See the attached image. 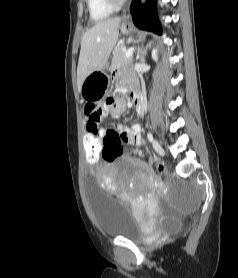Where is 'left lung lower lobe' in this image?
I'll return each instance as SVG.
<instances>
[{
  "label": "left lung lower lobe",
  "mask_w": 238,
  "mask_h": 278,
  "mask_svg": "<svg viewBox=\"0 0 238 278\" xmlns=\"http://www.w3.org/2000/svg\"><path fill=\"white\" fill-rule=\"evenodd\" d=\"M155 2L156 0H148V4L144 8L141 7L140 0H133L131 14L137 27L160 34L161 27L156 16Z\"/></svg>",
  "instance_id": "1"
}]
</instances>
